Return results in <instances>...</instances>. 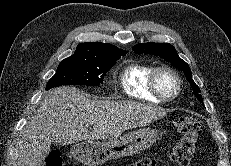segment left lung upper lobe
Here are the masks:
<instances>
[{
  "label": "left lung upper lobe",
  "instance_id": "5c2ea615",
  "mask_svg": "<svg viewBox=\"0 0 231 166\" xmlns=\"http://www.w3.org/2000/svg\"><path fill=\"white\" fill-rule=\"evenodd\" d=\"M133 50L137 54H152V55L159 56L164 60H166L167 62L172 63L174 67L182 70L188 82L190 83L191 87L193 88L194 93L196 94V98L199 101H203V98L200 94L201 91L192 79V73H191V69L189 68V65L178 56L177 51L173 45H170L169 43H154V42H148L142 44L139 43L133 47Z\"/></svg>",
  "mask_w": 231,
  "mask_h": 166
}]
</instances>
